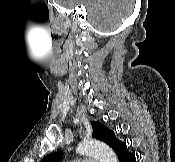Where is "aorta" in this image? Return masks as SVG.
I'll list each match as a JSON object with an SVG mask.
<instances>
[{"label": "aorta", "instance_id": "obj_1", "mask_svg": "<svg viewBox=\"0 0 175 162\" xmlns=\"http://www.w3.org/2000/svg\"><path fill=\"white\" fill-rule=\"evenodd\" d=\"M77 152L95 157L99 162H118L114 151L98 140H85L79 144Z\"/></svg>", "mask_w": 175, "mask_h": 162}]
</instances>
